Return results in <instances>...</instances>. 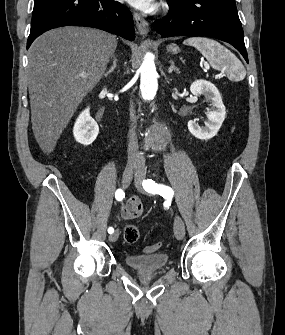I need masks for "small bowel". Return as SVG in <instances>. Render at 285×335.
Returning <instances> with one entry per match:
<instances>
[{"label": "small bowel", "mask_w": 285, "mask_h": 335, "mask_svg": "<svg viewBox=\"0 0 285 335\" xmlns=\"http://www.w3.org/2000/svg\"><path fill=\"white\" fill-rule=\"evenodd\" d=\"M144 206L137 196H133L127 203L119 208V216L124 220L138 219L143 215Z\"/></svg>", "instance_id": "small-bowel-1"}]
</instances>
